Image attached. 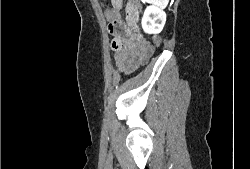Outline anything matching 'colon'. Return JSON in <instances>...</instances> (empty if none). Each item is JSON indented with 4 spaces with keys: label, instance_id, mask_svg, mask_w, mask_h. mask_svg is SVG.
Masks as SVG:
<instances>
[{
    "label": "colon",
    "instance_id": "obj_1",
    "mask_svg": "<svg viewBox=\"0 0 250 169\" xmlns=\"http://www.w3.org/2000/svg\"><path fill=\"white\" fill-rule=\"evenodd\" d=\"M128 2H129V4H131V8H136L137 10H142V0H129ZM113 5H115L117 8H121L122 2L120 0H114ZM138 13L141 14L142 12L139 11ZM113 28H114L115 32L119 35H123L127 32L125 26L119 20H115L114 22H112L110 24L111 31H113ZM152 42H153V46L155 48H157L160 46V44H162V39L160 38L159 35L155 34V35H153Z\"/></svg>",
    "mask_w": 250,
    "mask_h": 169
}]
</instances>
